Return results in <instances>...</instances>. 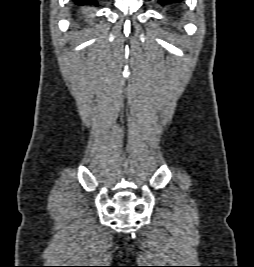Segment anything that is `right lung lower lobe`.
Wrapping results in <instances>:
<instances>
[{"label": "right lung lower lobe", "mask_w": 254, "mask_h": 267, "mask_svg": "<svg viewBox=\"0 0 254 267\" xmlns=\"http://www.w3.org/2000/svg\"><path fill=\"white\" fill-rule=\"evenodd\" d=\"M77 4H83V2L93 3L94 0H73Z\"/></svg>", "instance_id": "obj_1"}]
</instances>
